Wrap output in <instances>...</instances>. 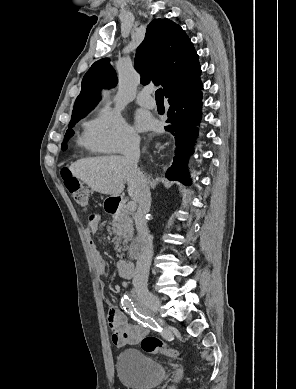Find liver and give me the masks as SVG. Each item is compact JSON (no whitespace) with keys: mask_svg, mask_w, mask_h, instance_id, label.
<instances>
[{"mask_svg":"<svg viewBox=\"0 0 296 389\" xmlns=\"http://www.w3.org/2000/svg\"><path fill=\"white\" fill-rule=\"evenodd\" d=\"M69 170L92 190L106 195L119 196L125 184L131 199L139 203L140 184L124 156H101L77 160Z\"/></svg>","mask_w":296,"mask_h":389,"instance_id":"1","label":"liver"}]
</instances>
